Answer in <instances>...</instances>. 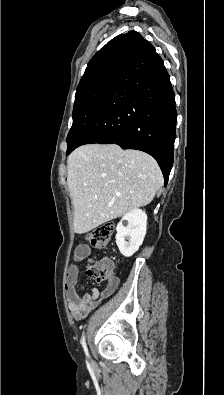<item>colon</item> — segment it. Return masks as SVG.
<instances>
[{"label":"colon","mask_w":224,"mask_h":395,"mask_svg":"<svg viewBox=\"0 0 224 395\" xmlns=\"http://www.w3.org/2000/svg\"><path fill=\"white\" fill-rule=\"evenodd\" d=\"M114 227L110 224L101 225L87 233L89 244L96 249H103L111 240ZM86 273L97 282H103L113 278V268L108 260L102 259L87 267Z\"/></svg>","instance_id":"colon-1"}]
</instances>
